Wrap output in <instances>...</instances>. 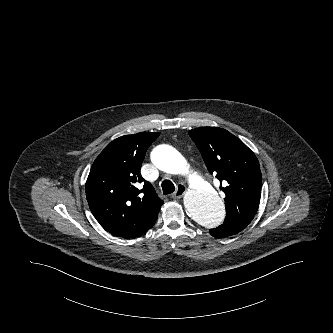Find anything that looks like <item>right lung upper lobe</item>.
Segmentation results:
<instances>
[{
    "label": "right lung upper lobe",
    "instance_id": "obj_1",
    "mask_svg": "<svg viewBox=\"0 0 333 333\" xmlns=\"http://www.w3.org/2000/svg\"><path fill=\"white\" fill-rule=\"evenodd\" d=\"M159 135L141 132L119 137L106 146L91 167L86 182L90 210L115 236H140L158 217L163 201L143 179L140 169L145 152Z\"/></svg>",
    "mask_w": 333,
    "mask_h": 333
}]
</instances>
